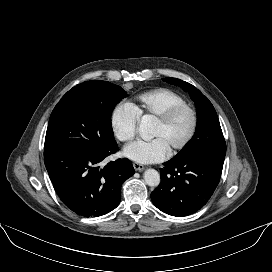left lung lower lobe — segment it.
I'll list each match as a JSON object with an SVG mask.
<instances>
[{"label":"left lung lower lobe","instance_id":"0a47b994","mask_svg":"<svg viewBox=\"0 0 272 272\" xmlns=\"http://www.w3.org/2000/svg\"><path fill=\"white\" fill-rule=\"evenodd\" d=\"M223 163L197 156L172 158L161 168L153 204L172 216H188L206 205L221 177Z\"/></svg>","mask_w":272,"mask_h":272}]
</instances>
